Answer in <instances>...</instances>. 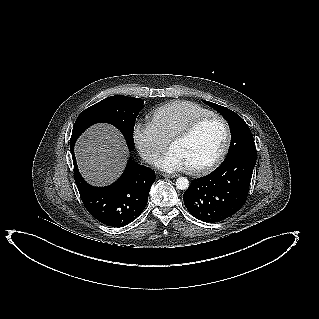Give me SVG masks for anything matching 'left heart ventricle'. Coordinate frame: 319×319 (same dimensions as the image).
Masks as SVG:
<instances>
[{"label": "left heart ventricle", "mask_w": 319, "mask_h": 319, "mask_svg": "<svg viewBox=\"0 0 319 319\" xmlns=\"http://www.w3.org/2000/svg\"><path fill=\"white\" fill-rule=\"evenodd\" d=\"M225 131L220 122L209 120L201 124L185 140L176 142L171 149L184 160L186 168H196L210 163L220 152Z\"/></svg>", "instance_id": "left-heart-ventricle-1"}]
</instances>
